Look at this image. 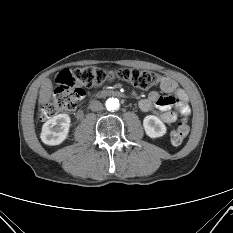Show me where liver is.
Instances as JSON below:
<instances>
[{
    "instance_id": "6515ba94",
    "label": "liver",
    "mask_w": 233,
    "mask_h": 233,
    "mask_svg": "<svg viewBox=\"0 0 233 233\" xmlns=\"http://www.w3.org/2000/svg\"><path fill=\"white\" fill-rule=\"evenodd\" d=\"M53 93V84L52 81L48 78H46L41 85L40 91H39V98L38 103L39 105H45L47 104L52 96Z\"/></svg>"
}]
</instances>
